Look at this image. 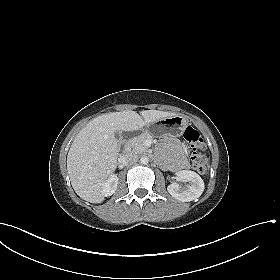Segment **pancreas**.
I'll list each match as a JSON object with an SVG mask.
<instances>
[{
	"mask_svg": "<svg viewBox=\"0 0 280 280\" xmlns=\"http://www.w3.org/2000/svg\"><path fill=\"white\" fill-rule=\"evenodd\" d=\"M151 135L148 133H142L141 135L134 137L128 143V147L132 152L136 154H144L147 152V147L145 146V141L151 139Z\"/></svg>",
	"mask_w": 280,
	"mask_h": 280,
	"instance_id": "obj_1",
	"label": "pancreas"
}]
</instances>
